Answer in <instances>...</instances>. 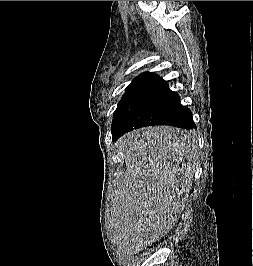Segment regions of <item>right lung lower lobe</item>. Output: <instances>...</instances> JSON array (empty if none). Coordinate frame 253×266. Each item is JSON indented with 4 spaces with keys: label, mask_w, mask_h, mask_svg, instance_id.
Listing matches in <instances>:
<instances>
[{
    "label": "right lung lower lobe",
    "mask_w": 253,
    "mask_h": 266,
    "mask_svg": "<svg viewBox=\"0 0 253 266\" xmlns=\"http://www.w3.org/2000/svg\"><path fill=\"white\" fill-rule=\"evenodd\" d=\"M154 125H171L184 129H196L190 109L180 103V97L177 93H174L170 110L163 120ZM131 130L133 128L128 127L125 123H112L111 132L113 141L118 140L120 136Z\"/></svg>",
    "instance_id": "1"
}]
</instances>
